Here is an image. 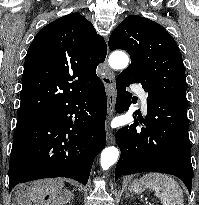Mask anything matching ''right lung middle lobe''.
<instances>
[{
	"label": "right lung middle lobe",
	"mask_w": 199,
	"mask_h": 205,
	"mask_svg": "<svg viewBox=\"0 0 199 205\" xmlns=\"http://www.w3.org/2000/svg\"><path fill=\"white\" fill-rule=\"evenodd\" d=\"M34 119L35 118L18 119L17 124H16V128L22 127V126L28 124L29 122H31Z\"/></svg>",
	"instance_id": "dd1d6c3e"
}]
</instances>
